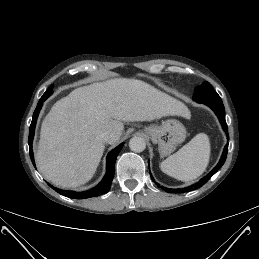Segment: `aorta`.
Masks as SVG:
<instances>
[{"instance_id": "762f6f07", "label": "aorta", "mask_w": 259, "mask_h": 259, "mask_svg": "<svg viewBox=\"0 0 259 259\" xmlns=\"http://www.w3.org/2000/svg\"><path fill=\"white\" fill-rule=\"evenodd\" d=\"M129 148L133 152H142L146 148V142L142 137H133L129 141Z\"/></svg>"}]
</instances>
